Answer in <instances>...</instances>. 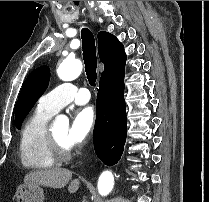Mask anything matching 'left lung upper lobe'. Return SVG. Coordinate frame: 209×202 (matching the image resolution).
<instances>
[{"label": "left lung upper lobe", "instance_id": "obj_1", "mask_svg": "<svg viewBox=\"0 0 209 202\" xmlns=\"http://www.w3.org/2000/svg\"><path fill=\"white\" fill-rule=\"evenodd\" d=\"M49 80L50 69L48 66H41L33 70L25 80L15 111V125L18 129L36 101L47 89Z\"/></svg>", "mask_w": 209, "mask_h": 202}]
</instances>
